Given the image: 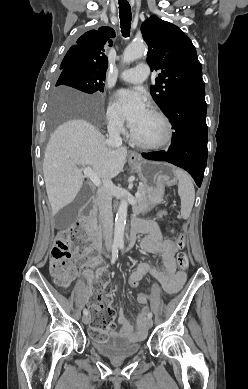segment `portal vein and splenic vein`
<instances>
[{
	"label": "portal vein and splenic vein",
	"instance_id": "1",
	"mask_svg": "<svg viewBox=\"0 0 248 389\" xmlns=\"http://www.w3.org/2000/svg\"><path fill=\"white\" fill-rule=\"evenodd\" d=\"M82 171H83L84 175L86 177H88L94 183V185H96L98 187L101 185V180H100L99 176L93 171L92 168L84 167V168H82ZM135 196L140 197V193L136 192Z\"/></svg>",
	"mask_w": 248,
	"mask_h": 389
}]
</instances>
